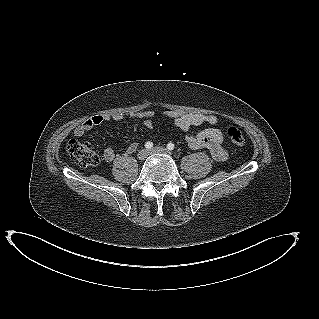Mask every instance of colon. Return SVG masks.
<instances>
[{
    "label": "colon",
    "mask_w": 319,
    "mask_h": 319,
    "mask_svg": "<svg viewBox=\"0 0 319 319\" xmlns=\"http://www.w3.org/2000/svg\"><path fill=\"white\" fill-rule=\"evenodd\" d=\"M227 135L235 145L242 146L245 143L244 135L237 128H228ZM65 149L69 157L82 167L94 166L99 161L88 142L71 139L67 142Z\"/></svg>",
    "instance_id": "5ec220e1"
}]
</instances>
